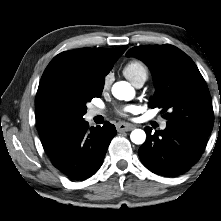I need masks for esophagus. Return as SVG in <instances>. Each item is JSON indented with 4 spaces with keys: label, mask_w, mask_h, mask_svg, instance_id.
<instances>
[{
    "label": "esophagus",
    "mask_w": 221,
    "mask_h": 221,
    "mask_svg": "<svg viewBox=\"0 0 221 221\" xmlns=\"http://www.w3.org/2000/svg\"><path fill=\"white\" fill-rule=\"evenodd\" d=\"M135 128L134 125L131 124H127V123H117L116 124V129L118 132H127V131H131Z\"/></svg>",
    "instance_id": "1"
}]
</instances>
